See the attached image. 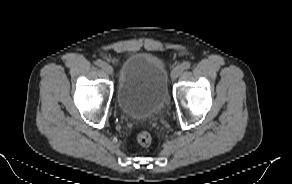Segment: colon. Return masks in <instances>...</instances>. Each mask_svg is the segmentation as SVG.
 <instances>
[{
	"mask_svg": "<svg viewBox=\"0 0 292 184\" xmlns=\"http://www.w3.org/2000/svg\"><path fill=\"white\" fill-rule=\"evenodd\" d=\"M151 141H152V137H151L150 133H148L146 131L140 132L137 135V142L142 146L150 145Z\"/></svg>",
	"mask_w": 292,
	"mask_h": 184,
	"instance_id": "1",
	"label": "colon"
}]
</instances>
